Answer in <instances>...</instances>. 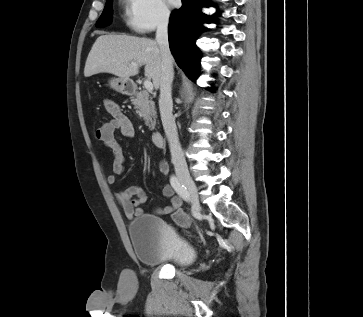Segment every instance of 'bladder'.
Masks as SVG:
<instances>
[{"label":"bladder","instance_id":"obj_1","mask_svg":"<svg viewBox=\"0 0 363 317\" xmlns=\"http://www.w3.org/2000/svg\"><path fill=\"white\" fill-rule=\"evenodd\" d=\"M128 235L139 262L145 266L169 263L180 268L194 262L197 256L190 241L154 216L134 218L128 225Z\"/></svg>","mask_w":363,"mask_h":317}]
</instances>
